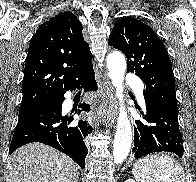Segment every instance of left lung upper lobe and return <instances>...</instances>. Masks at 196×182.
<instances>
[{"instance_id":"obj_1","label":"left lung upper lobe","mask_w":196,"mask_h":182,"mask_svg":"<svg viewBox=\"0 0 196 182\" xmlns=\"http://www.w3.org/2000/svg\"><path fill=\"white\" fill-rule=\"evenodd\" d=\"M109 45L125 54L127 72L135 71L146 85L143 93L154 96L177 114L171 61L155 31L134 17H123L114 24Z\"/></svg>"}]
</instances>
